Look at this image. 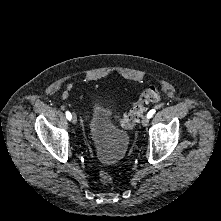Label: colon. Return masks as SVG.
Returning <instances> with one entry per match:
<instances>
[{
    "label": "colon",
    "mask_w": 221,
    "mask_h": 221,
    "mask_svg": "<svg viewBox=\"0 0 221 221\" xmlns=\"http://www.w3.org/2000/svg\"><path fill=\"white\" fill-rule=\"evenodd\" d=\"M161 101V94L154 87L144 89L137 102L129 109V111L123 116L117 117V123L123 128H131L134 126L139 118L143 115L146 110L148 103H156ZM100 180L105 184L112 183V176L105 170L100 171Z\"/></svg>",
    "instance_id": "obj_1"
}]
</instances>
